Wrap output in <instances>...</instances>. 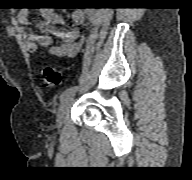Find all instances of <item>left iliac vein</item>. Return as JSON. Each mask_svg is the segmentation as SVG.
Wrapping results in <instances>:
<instances>
[{
    "instance_id": "left-iliac-vein-1",
    "label": "left iliac vein",
    "mask_w": 192,
    "mask_h": 180,
    "mask_svg": "<svg viewBox=\"0 0 192 180\" xmlns=\"http://www.w3.org/2000/svg\"><path fill=\"white\" fill-rule=\"evenodd\" d=\"M72 100H73V96L67 97L64 101H62L59 107L58 114H57V124L59 127H61L62 124L65 122L66 115L68 113L69 106Z\"/></svg>"
}]
</instances>
